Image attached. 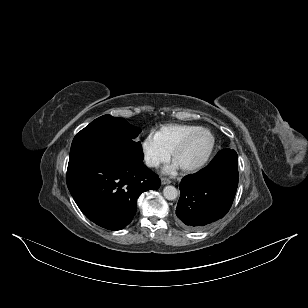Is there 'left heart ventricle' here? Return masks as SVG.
Returning a JSON list of instances; mask_svg holds the SVG:
<instances>
[{
	"label": "left heart ventricle",
	"instance_id": "left-heart-ventricle-1",
	"mask_svg": "<svg viewBox=\"0 0 308 308\" xmlns=\"http://www.w3.org/2000/svg\"><path fill=\"white\" fill-rule=\"evenodd\" d=\"M211 144L212 138L208 133L198 134L187 148L177 156L175 163L179 167L197 164L206 156Z\"/></svg>",
	"mask_w": 308,
	"mask_h": 308
}]
</instances>
